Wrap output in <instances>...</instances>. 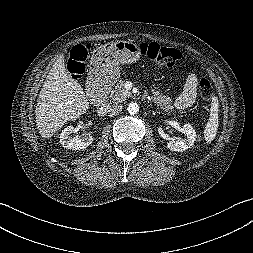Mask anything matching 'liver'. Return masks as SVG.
Returning <instances> with one entry per match:
<instances>
[{
  "label": "liver",
  "mask_w": 253,
  "mask_h": 253,
  "mask_svg": "<svg viewBox=\"0 0 253 253\" xmlns=\"http://www.w3.org/2000/svg\"><path fill=\"white\" fill-rule=\"evenodd\" d=\"M88 95L67 72L64 55H60L47 75L35 107V122L41 137L51 138L67 121L86 113L90 104Z\"/></svg>",
  "instance_id": "6515ba94"
}]
</instances>
